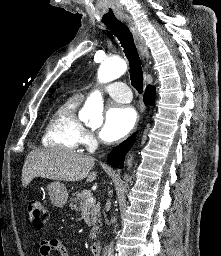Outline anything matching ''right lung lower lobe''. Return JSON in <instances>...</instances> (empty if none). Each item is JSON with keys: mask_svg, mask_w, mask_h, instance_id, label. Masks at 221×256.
<instances>
[{"mask_svg": "<svg viewBox=\"0 0 221 256\" xmlns=\"http://www.w3.org/2000/svg\"><path fill=\"white\" fill-rule=\"evenodd\" d=\"M155 96V88L148 86L144 93V102L146 105L152 104ZM136 134L130 136L126 141L115 147L108 156L109 164L114 168H122L124 165V157L128 150L134 144Z\"/></svg>", "mask_w": 221, "mask_h": 256, "instance_id": "98d812e1", "label": "right lung lower lobe"}]
</instances>
